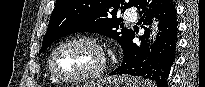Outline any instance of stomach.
I'll use <instances>...</instances> for the list:
<instances>
[{"label": "stomach", "mask_w": 205, "mask_h": 87, "mask_svg": "<svg viewBox=\"0 0 205 87\" xmlns=\"http://www.w3.org/2000/svg\"><path fill=\"white\" fill-rule=\"evenodd\" d=\"M78 87H147L144 82L138 78L129 76L108 77L97 82H89Z\"/></svg>", "instance_id": "0dacf381"}]
</instances>
